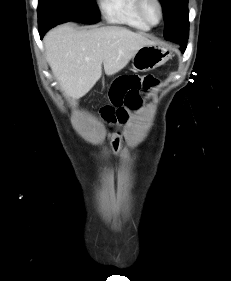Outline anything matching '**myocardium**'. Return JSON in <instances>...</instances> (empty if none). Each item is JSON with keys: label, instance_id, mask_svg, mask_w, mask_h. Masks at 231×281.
<instances>
[{"label": "myocardium", "instance_id": "1", "mask_svg": "<svg viewBox=\"0 0 231 281\" xmlns=\"http://www.w3.org/2000/svg\"><path fill=\"white\" fill-rule=\"evenodd\" d=\"M148 1L153 2L154 4H156V6L158 7L159 10V19L157 22H153L149 19L147 13H146V3ZM137 8H138V12L141 16V18L149 25V26H156L158 24H160L163 20L164 17V10H163V5L161 3L160 0H137Z\"/></svg>", "mask_w": 231, "mask_h": 281}]
</instances>
